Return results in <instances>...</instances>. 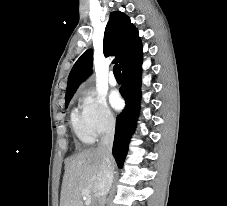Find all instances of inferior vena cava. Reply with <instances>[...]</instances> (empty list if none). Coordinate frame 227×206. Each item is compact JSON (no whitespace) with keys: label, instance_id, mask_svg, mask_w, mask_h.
I'll use <instances>...</instances> for the list:
<instances>
[{"label":"inferior vena cava","instance_id":"inferior-vena-cava-1","mask_svg":"<svg viewBox=\"0 0 227 206\" xmlns=\"http://www.w3.org/2000/svg\"><path fill=\"white\" fill-rule=\"evenodd\" d=\"M115 133V120L108 119L104 134L97 147L102 157V164L96 181V206H104L106 196L111 188L114 174V160L112 156V146Z\"/></svg>","mask_w":227,"mask_h":206}]
</instances>
